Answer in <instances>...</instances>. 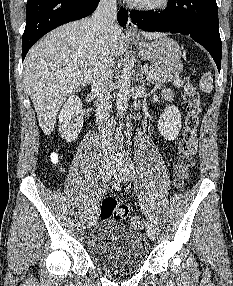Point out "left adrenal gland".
Here are the masks:
<instances>
[{
  "label": "left adrenal gland",
  "instance_id": "1",
  "mask_svg": "<svg viewBox=\"0 0 233 286\" xmlns=\"http://www.w3.org/2000/svg\"><path fill=\"white\" fill-rule=\"evenodd\" d=\"M140 82L143 86L145 85V82L143 80V72H141V75H140Z\"/></svg>",
  "mask_w": 233,
  "mask_h": 286
}]
</instances>
